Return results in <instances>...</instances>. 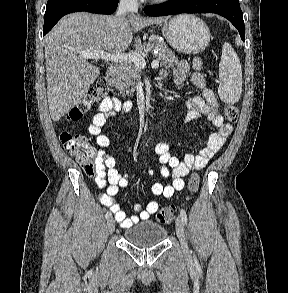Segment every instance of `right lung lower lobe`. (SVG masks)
<instances>
[{
  "mask_svg": "<svg viewBox=\"0 0 288 293\" xmlns=\"http://www.w3.org/2000/svg\"><path fill=\"white\" fill-rule=\"evenodd\" d=\"M117 5L118 0H62L46 7L43 34L46 35L66 14L78 11L111 14L116 10Z\"/></svg>",
  "mask_w": 288,
  "mask_h": 293,
  "instance_id": "98d812e1",
  "label": "right lung lower lobe"
}]
</instances>
